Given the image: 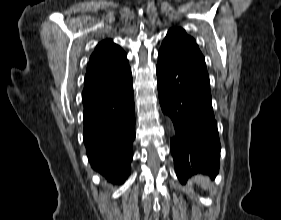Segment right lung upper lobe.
<instances>
[{
	"label": "right lung upper lobe",
	"mask_w": 281,
	"mask_h": 220,
	"mask_svg": "<svg viewBox=\"0 0 281 220\" xmlns=\"http://www.w3.org/2000/svg\"><path fill=\"white\" fill-rule=\"evenodd\" d=\"M131 78L126 53L112 40H104L90 57L82 95L116 89Z\"/></svg>",
	"instance_id": "1"
}]
</instances>
